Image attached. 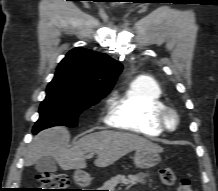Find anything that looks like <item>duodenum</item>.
Instances as JSON below:
<instances>
[{"mask_svg": "<svg viewBox=\"0 0 218 191\" xmlns=\"http://www.w3.org/2000/svg\"><path fill=\"white\" fill-rule=\"evenodd\" d=\"M76 181L82 185H88L89 184V177L88 175L82 171V170H78L76 172Z\"/></svg>", "mask_w": 218, "mask_h": 191, "instance_id": "obj_1", "label": "duodenum"}]
</instances>
